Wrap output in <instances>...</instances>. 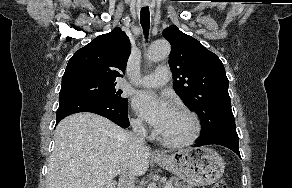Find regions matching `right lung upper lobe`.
I'll return each mask as SVG.
<instances>
[{"label":"right lung upper lobe","mask_w":292,"mask_h":188,"mask_svg":"<svg viewBox=\"0 0 292 188\" xmlns=\"http://www.w3.org/2000/svg\"><path fill=\"white\" fill-rule=\"evenodd\" d=\"M130 41L125 32L114 28L96 37L70 58L62 80L89 77L115 81L122 76L130 54Z\"/></svg>","instance_id":"obj_1"}]
</instances>
